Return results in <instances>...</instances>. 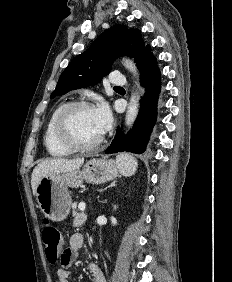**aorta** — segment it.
Returning a JSON list of instances; mask_svg holds the SVG:
<instances>
[{"label": "aorta", "instance_id": "aorta-1", "mask_svg": "<svg viewBox=\"0 0 232 282\" xmlns=\"http://www.w3.org/2000/svg\"><path fill=\"white\" fill-rule=\"evenodd\" d=\"M124 66L130 71L132 72L134 75L137 74V68L134 64L133 61L129 60V59H126L124 61ZM138 108H139V97L138 95H133L130 99V102H129V105H128V108H127V112H126V124L128 126H132L135 119H136V116H137V113H138Z\"/></svg>", "mask_w": 232, "mask_h": 282}]
</instances>
